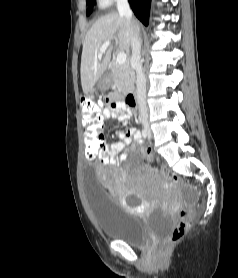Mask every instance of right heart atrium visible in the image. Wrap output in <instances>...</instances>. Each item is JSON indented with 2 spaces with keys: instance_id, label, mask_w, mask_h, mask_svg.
<instances>
[{
  "instance_id": "right-heart-atrium-1",
  "label": "right heart atrium",
  "mask_w": 238,
  "mask_h": 278,
  "mask_svg": "<svg viewBox=\"0 0 238 278\" xmlns=\"http://www.w3.org/2000/svg\"><path fill=\"white\" fill-rule=\"evenodd\" d=\"M115 0H98L99 4L103 6H109L111 5Z\"/></svg>"
}]
</instances>
